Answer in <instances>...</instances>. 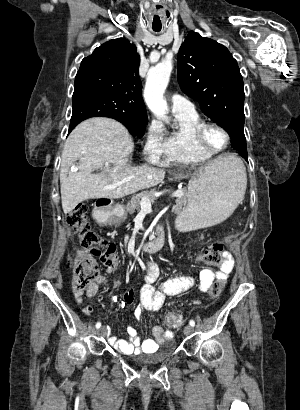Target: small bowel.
<instances>
[{
    "mask_svg": "<svg viewBox=\"0 0 300 410\" xmlns=\"http://www.w3.org/2000/svg\"><path fill=\"white\" fill-rule=\"evenodd\" d=\"M79 253H82L80 251ZM218 269L213 268L203 269L198 278L196 284L195 279L189 275L173 276L166 279L159 288H155L153 283L156 281L158 273L153 263L147 264V274L144 277V284L142 285L139 293L140 303L134 309V317L139 320L144 311L155 312L162 308L166 296L179 295L195 285L201 292H207L211 288L212 284L217 281L225 282L234 268V259L228 252H223L222 260L217 265ZM107 282L104 276H98L93 282H91L84 292L75 291L74 299L78 305L83 304V295L86 297H93L98 292L99 285ZM113 301L117 298L113 297ZM134 300V290L130 289L123 295V301L125 304H131ZM93 311L92 305H86L83 308V312L89 315ZM106 333L109 335V343L117 351L123 354H138L142 352H150L157 348V346L165 340L172 337V332L163 326H155L152 329L153 338L142 339L138 330L134 326L127 327L128 340L117 339L115 336L110 335V328L105 327Z\"/></svg>",
    "mask_w": 300,
    "mask_h": 410,
    "instance_id": "c3829d8e",
    "label": "small bowel"
}]
</instances>
